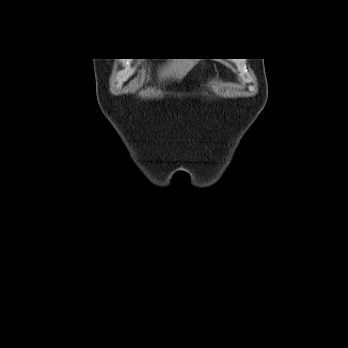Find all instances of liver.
I'll return each instance as SVG.
<instances>
[{
    "label": "liver",
    "instance_id": "obj_1",
    "mask_svg": "<svg viewBox=\"0 0 348 348\" xmlns=\"http://www.w3.org/2000/svg\"><path fill=\"white\" fill-rule=\"evenodd\" d=\"M195 61L193 60H173L169 61L159 71V77L162 78H175L181 80L193 67Z\"/></svg>",
    "mask_w": 348,
    "mask_h": 348
}]
</instances>
